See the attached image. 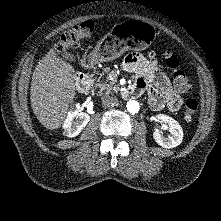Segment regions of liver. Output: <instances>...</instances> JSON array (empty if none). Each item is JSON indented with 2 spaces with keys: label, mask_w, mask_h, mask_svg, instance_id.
I'll return each instance as SVG.
<instances>
[{
  "label": "liver",
  "mask_w": 221,
  "mask_h": 221,
  "mask_svg": "<svg viewBox=\"0 0 221 221\" xmlns=\"http://www.w3.org/2000/svg\"><path fill=\"white\" fill-rule=\"evenodd\" d=\"M76 71L51 49L32 75L30 100L33 113L47 129L61 127L76 95Z\"/></svg>",
  "instance_id": "1"
}]
</instances>
